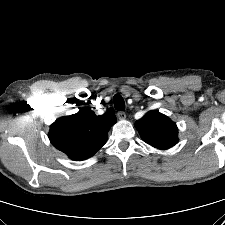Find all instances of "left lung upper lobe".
I'll return each mask as SVG.
<instances>
[{"mask_svg": "<svg viewBox=\"0 0 225 225\" xmlns=\"http://www.w3.org/2000/svg\"><path fill=\"white\" fill-rule=\"evenodd\" d=\"M135 126L143 141L157 149H169L178 141L176 124L159 111L146 113Z\"/></svg>", "mask_w": 225, "mask_h": 225, "instance_id": "obj_1", "label": "left lung upper lobe"}]
</instances>
